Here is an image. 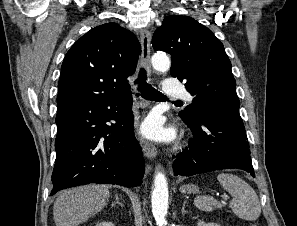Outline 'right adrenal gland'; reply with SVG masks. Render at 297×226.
Here are the masks:
<instances>
[{"label": "right adrenal gland", "mask_w": 297, "mask_h": 226, "mask_svg": "<svg viewBox=\"0 0 297 226\" xmlns=\"http://www.w3.org/2000/svg\"><path fill=\"white\" fill-rule=\"evenodd\" d=\"M115 200H116V201H115L114 203H112V206H115L116 204L121 205V206H124V205L120 202L118 195H115Z\"/></svg>", "instance_id": "1"}]
</instances>
